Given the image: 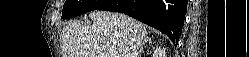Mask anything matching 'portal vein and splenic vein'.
I'll list each match as a JSON object with an SVG mask.
<instances>
[{"label":"portal vein and splenic vein","instance_id":"obj_1","mask_svg":"<svg viewBox=\"0 0 249 57\" xmlns=\"http://www.w3.org/2000/svg\"><path fill=\"white\" fill-rule=\"evenodd\" d=\"M104 57H109V55L106 54V55H104Z\"/></svg>","mask_w":249,"mask_h":57}]
</instances>
